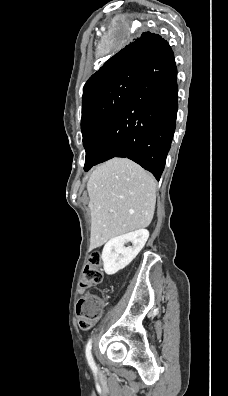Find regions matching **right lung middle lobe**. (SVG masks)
<instances>
[{
  "instance_id": "right-lung-middle-lobe-1",
  "label": "right lung middle lobe",
  "mask_w": 228,
  "mask_h": 396,
  "mask_svg": "<svg viewBox=\"0 0 228 396\" xmlns=\"http://www.w3.org/2000/svg\"><path fill=\"white\" fill-rule=\"evenodd\" d=\"M141 73L142 70H134L107 80L83 98L81 130L86 150L85 171L94 166L116 116Z\"/></svg>"
}]
</instances>
